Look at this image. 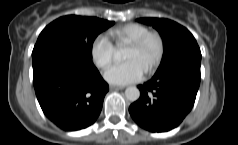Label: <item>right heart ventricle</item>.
Wrapping results in <instances>:
<instances>
[{"instance_id":"right-heart-ventricle-1","label":"right heart ventricle","mask_w":238,"mask_h":145,"mask_svg":"<svg viewBox=\"0 0 238 145\" xmlns=\"http://www.w3.org/2000/svg\"><path fill=\"white\" fill-rule=\"evenodd\" d=\"M149 28L139 23H128L110 31V35L120 44L129 45L142 35L147 33Z\"/></svg>"}]
</instances>
